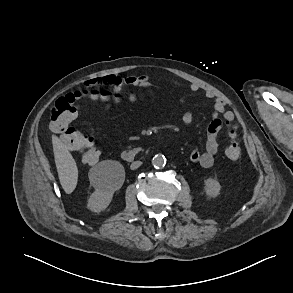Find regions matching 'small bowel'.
<instances>
[{"instance_id": "1", "label": "small bowel", "mask_w": 293, "mask_h": 293, "mask_svg": "<svg viewBox=\"0 0 293 293\" xmlns=\"http://www.w3.org/2000/svg\"><path fill=\"white\" fill-rule=\"evenodd\" d=\"M86 87L107 86L111 88V97L104 100V110L108 111L113 104L121 102L122 91L129 86L143 87L149 92L156 90V87L151 83L148 75H133L128 77H120L115 75H104L100 77H93L84 82ZM192 92H198L201 87L197 83L190 84ZM205 97L213 101V116L214 119L210 122L207 128L205 149L200 151L194 149L190 153V160L198 163L203 167H210L214 163L215 155L217 154L219 143L218 133L222 129L223 123L232 124L235 115L232 111L226 110L224 101L219 98L213 91L206 90ZM139 98L136 95H130L128 100L134 102ZM182 121L186 126H190L193 122V115L190 111H185L182 115Z\"/></svg>"}]
</instances>
